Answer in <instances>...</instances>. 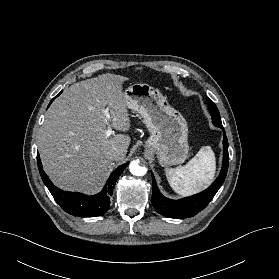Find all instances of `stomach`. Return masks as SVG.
<instances>
[{"instance_id":"0dacf381","label":"stomach","mask_w":279,"mask_h":279,"mask_svg":"<svg viewBox=\"0 0 279 279\" xmlns=\"http://www.w3.org/2000/svg\"><path fill=\"white\" fill-rule=\"evenodd\" d=\"M127 107L143 119L150 132L145 147L156 153L162 166L183 163L188 156V126L182 114L167 102L160 91L136 83L124 91Z\"/></svg>"}]
</instances>
